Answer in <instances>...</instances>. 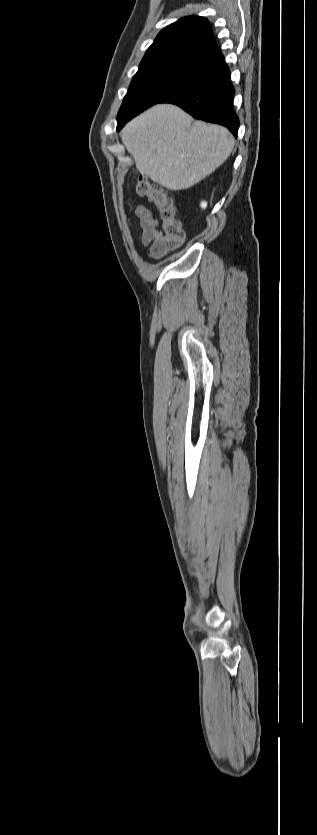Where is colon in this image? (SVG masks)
Instances as JSON below:
<instances>
[{"label":"colon","mask_w":317,"mask_h":835,"mask_svg":"<svg viewBox=\"0 0 317 835\" xmlns=\"http://www.w3.org/2000/svg\"><path fill=\"white\" fill-rule=\"evenodd\" d=\"M136 192L139 196L145 197L157 208L162 221V239L158 249L167 253L180 247L184 240L182 224L177 216V208L167 192L148 180L140 178L136 182Z\"/></svg>","instance_id":"obj_1"}]
</instances>
